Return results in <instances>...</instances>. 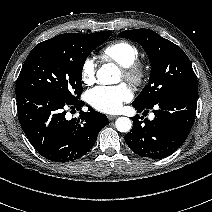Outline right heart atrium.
<instances>
[{
    "label": "right heart atrium",
    "mask_w": 212,
    "mask_h": 212,
    "mask_svg": "<svg viewBox=\"0 0 212 212\" xmlns=\"http://www.w3.org/2000/svg\"><path fill=\"white\" fill-rule=\"evenodd\" d=\"M96 63L92 58H87L81 67V79L84 84L92 85L96 80Z\"/></svg>",
    "instance_id": "right-heart-atrium-1"
}]
</instances>
